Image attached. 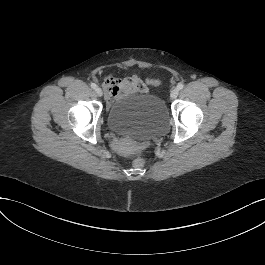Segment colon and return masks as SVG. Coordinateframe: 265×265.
Returning <instances> with one entry per match:
<instances>
[{"label":"colon","mask_w":265,"mask_h":265,"mask_svg":"<svg viewBox=\"0 0 265 265\" xmlns=\"http://www.w3.org/2000/svg\"><path fill=\"white\" fill-rule=\"evenodd\" d=\"M133 164H134V166H135L136 168H141V167H143L144 164H145V158L142 157V156H139V157H137V158L134 160Z\"/></svg>","instance_id":"obj_1"}]
</instances>
